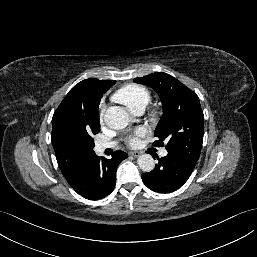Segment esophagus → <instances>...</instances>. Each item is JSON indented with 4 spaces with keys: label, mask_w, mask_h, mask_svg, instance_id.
Wrapping results in <instances>:
<instances>
[{
    "label": "esophagus",
    "mask_w": 257,
    "mask_h": 257,
    "mask_svg": "<svg viewBox=\"0 0 257 257\" xmlns=\"http://www.w3.org/2000/svg\"><path fill=\"white\" fill-rule=\"evenodd\" d=\"M129 155L133 156V157H139L141 155V152H139V151H131V152H129Z\"/></svg>",
    "instance_id": "34e87169"
}]
</instances>
